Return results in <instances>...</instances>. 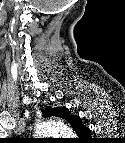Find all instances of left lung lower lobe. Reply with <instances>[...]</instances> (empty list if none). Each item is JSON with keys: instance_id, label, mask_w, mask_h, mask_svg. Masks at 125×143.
Here are the masks:
<instances>
[{"instance_id": "1", "label": "left lung lower lobe", "mask_w": 125, "mask_h": 143, "mask_svg": "<svg viewBox=\"0 0 125 143\" xmlns=\"http://www.w3.org/2000/svg\"><path fill=\"white\" fill-rule=\"evenodd\" d=\"M68 123H70L71 125H75L77 123H79L81 120L79 117L73 116L71 114H69L68 110L64 116V118ZM73 127V126H72ZM80 137H84L87 138L90 136V131H88V129L85 131V134L83 133L82 135H79Z\"/></svg>"}]
</instances>
